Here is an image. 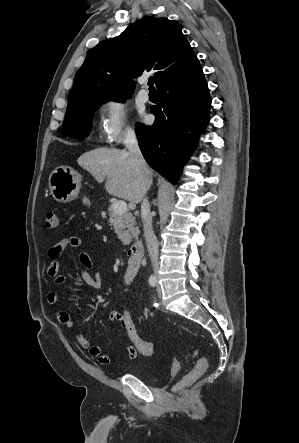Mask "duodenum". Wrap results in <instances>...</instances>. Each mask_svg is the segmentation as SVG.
<instances>
[{"label":"duodenum","instance_id":"1","mask_svg":"<svg viewBox=\"0 0 299 443\" xmlns=\"http://www.w3.org/2000/svg\"><path fill=\"white\" fill-rule=\"evenodd\" d=\"M129 254V262L131 264H138L141 262L143 255H144V246L141 241H135L133 242L128 250Z\"/></svg>","mask_w":299,"mask_h":443}]
</instances>
